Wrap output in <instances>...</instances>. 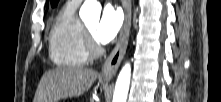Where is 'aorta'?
<instances>
[{"instance_id": "aorta-1", "label": "aorta", "mask_w": 221, "mask_h": 102, "mask_svg": "<svg viewBox=\"0 0 221 102\" xmlns=\"http://www.w3.org/2000/svg\"><path fill=\"white\" fill-rule=\"evenodd\" d=\"M100 13L101 5L98 0H85L79 11L82 20L99 19ZM130 79L131 65L126 63L118 75L112 102H126Z\"/></svg>"}]
</instances>
